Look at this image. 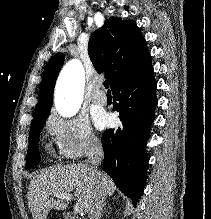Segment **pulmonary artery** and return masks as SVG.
I'll use <instances>...</instances> for the list:
<instances>
[{
  "label": "pulmonary artery",
  "mask_w": 211,
  "mask_h": 219,
  "mask_svg": "<svg viewBox=\"0 0 211 219\" xmlns=\"http://www.w3.org/2000/svg\"><path fill=\"white\" fill-rule=\"evenodd\" d=\"M91 101L96 105H104L107 101L106 94L100 89V84L96 86V89L91 95Z\"/></svg>",
  "instance_id": "1"
}]
</instances>
